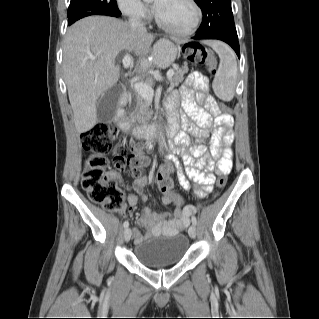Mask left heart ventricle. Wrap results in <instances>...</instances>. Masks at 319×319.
<instances>
[{"label":"left heart ventricle","instance_id":"b2bd125f","mask_svg":"<svg viewBox=\"0 0 319 319\" xmlns=\"http://www.w3.org/2000/svg\"><path fill=\"white\" fill-rule=\"evenodd\" d=\"M156 12L169 26L187 28L194 19V10L186 0H157Z\"/></svg>","mask_w":319,"mask_h":319}]
</instances>
